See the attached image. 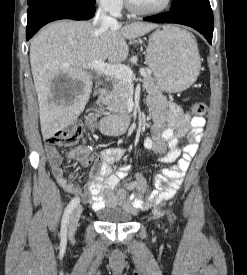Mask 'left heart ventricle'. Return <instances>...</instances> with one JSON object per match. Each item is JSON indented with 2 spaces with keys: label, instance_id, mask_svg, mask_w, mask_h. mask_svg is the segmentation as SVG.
I'll return each instance as SVG.
<instances>
[{
  "label": "left heart ventricle",
  "instance_id": "left-heart-ventricle-1",
  "mask_svg": "<svg viewBox=\"0 0 247 275\" xmlns=\"http://www.w3.org/2000/svg\"><path fill=\"white\" fill-rule=\"evenodd\" d=\"M133 3L142 9H153L164 4L165 0H132Z\"/></svg>",
  "mask_w": 247,
  "mask_h": 275
}]
</instances>
